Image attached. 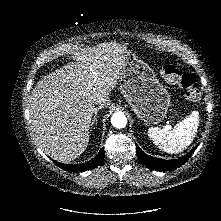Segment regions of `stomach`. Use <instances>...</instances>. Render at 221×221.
<instances>
[{
	"mask_svg": "<svg viewBox=\"0 0 221 221\" xmlns=\"http://www.w3.org/2000/svg\"><path fill=\"white\" fill-rule=\"evenodd\" d=\"M123 58L119 87L125 100L140 120L148 124L161 122L170 106V94L147 63L129 50Z\"/></svg>",
	"mask_w": 221,
	"mask_h": 221,
	"instance_id": "obj_1",
	"label": "stomach"
}]
</instances>
